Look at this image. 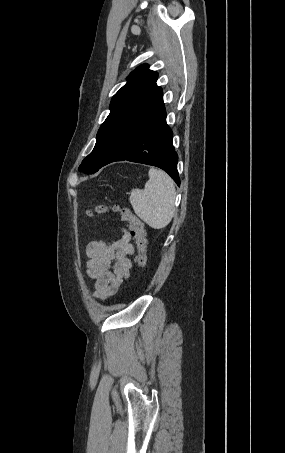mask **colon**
I'll list each match as a JSON object with an SVG mask.
<instances>
[{"instance_id":"5ec220e1","label":"colon","mask_w":285,"mask_h":453,"mask_svg":"<svg viewBox=\"0 0 285 453\" xmlns=\"http://www.w3.org/2000/svg\"><path fill=\"white\" fill-rule=\"evenodd\" d=\"M106 212H112L119 214L123 220L127 221L130 225L131 234L135 239L138 254L135 258L136 265L139 269H144L148 263L147 255V230L144 222L134 215L132 210L128 207H120L118 205L106 206L99 205L93 210L87 211V216H93L95 214H102Z\"/></svg>"}]
</instances>
